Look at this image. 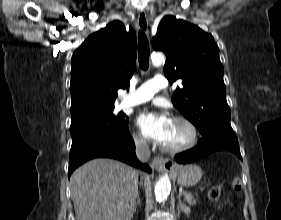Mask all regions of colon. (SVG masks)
Wrapping results in <instances>:
<instances>
[{"instance_id":"1","label":"colon","mask_w":281,"mask_h":220,"mask_svg":"<svg viewBox=\"0 0 281 220\" xmlns=\"http://www.w3.org/2000/svg\"><path fill=\"white\" fill-rule=\"evenodd\" d=\"M233 188L238 191L241 189V183L240 180L238 178H235L233 180ZM221 191H222V185L221 184H216L213 185L209 191H208V198L210 201H217L221 195Z\"/></svg>"}]
</instances>
